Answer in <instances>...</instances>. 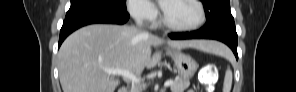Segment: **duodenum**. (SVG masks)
I'll return each instance as SVG.
<instances>
[{"mask_svg":"<svg viewBox=\"0 0 296 92\" xmlns=\"http://www.w3.org/2000/svg\"><path fill=\"white\" fill-rule=\"evenodd\" d=\"M122 92H128L127 90H123Z\"/></svg>","mask_w":296,"mask_h":92,"instance_id":"410a0bca","label":"duodenum"}]
</instances>
